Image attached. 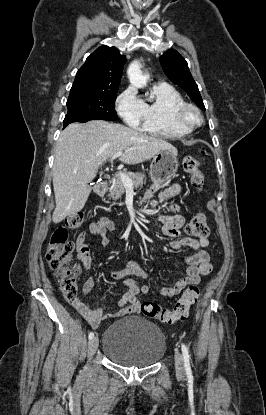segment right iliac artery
Masks as SVG:
<instances>
[{"label": "right iliac artery", "instance_id": "1", "mask_svg": "<svg viewBox=\"0 0 266 415\" xmlns=\"http://www.w3.org/2000/svg\"><path fill=\"white\" fill-rule=\"evenodd\" d=\"M93 337H94V333L93 332H90L89 335H88V338L89 339H92Z\"/></svg>", "mask_w": 266, "mask_h": 415}]
</instances>
